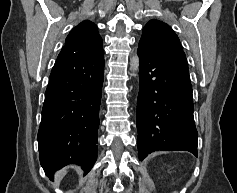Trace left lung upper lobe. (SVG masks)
<instances>
[{
	"mask_svg": "<svg viewBox=\"0 0 237 193\" xmlns=\"http://www.w3.org/2000/svg\"><path fill=\"white\" fill-rule=\"evenodd\" d=\"M139 46H144L159 55L188 67L178 36L162 21L150 20L143 28Z\"/></svg>",
	"mask_w": 237,
	"mask_h": 193,
	"instance_id": "5c2ea615",
	"label": "left lung upper lobe"
}]
</instances>
